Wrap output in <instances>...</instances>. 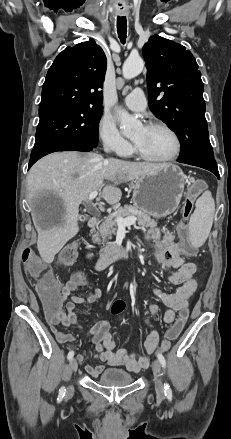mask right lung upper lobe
I'll use <instances>...</instances> for the list:
<instances>
[{"mask_svg": "<svg viewBox=\"0 0 231 439\" xmlns=\"http://www.w3.org/2000/svg\"><path fill=\"white\" fill-rule=\"evenodd\" d=\"M107 59L94 40L67 47L54 60L42 88L39 116L72 108H103Z\"/></svg>", "mask_w": 231, "mask_h": 439, "instance_id": "1", "label": "right lung upper lobe"}]
</instances>
